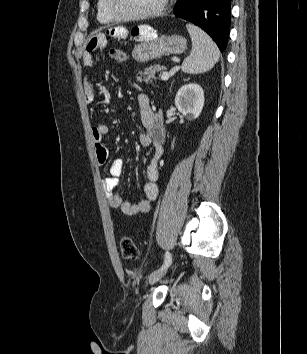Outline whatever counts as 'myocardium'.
Instances as JSON below:
<instances>
[{
    "instance_id": "myocardium-1",
    "label": "myocardium",
    "mask_w": 307,
    "mask_h": 354,
    "mask_svg": "<svg viewBox=\"0 0 307 354\" xmlns=\"http://www.w3.org/2000/svg\"><path fill=\"white\" fill-rule=\"evenodd\" d=\"M168 4V0H160L158 6L151 11L140 13V14H132L126 15L119 13L114 5V0H106V7L109 14L118 21H138V20H146L160 16L166 6Z\"/></svg>"
}]
</instances>
